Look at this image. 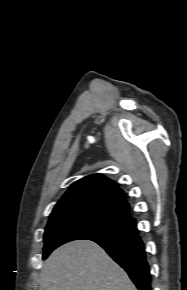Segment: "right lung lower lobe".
I'll use <instances>...</instances> for the list:
<instances>
[{"label":"right lung lower lobe","mask_w":187,"mask_h":290,"mask_svg":"<svg viewBox=\"0 0 187 290\" xmlns=\"http://www.w3.org/2000/svg\"><path fill=\"white\" fill-rule=\"evenodd\" d=\"M88 240L103 247L125 269L138 290H151L149 265L135 225L117 232L97 235Z\"/></svg>","instance_id":"right-lung-lower-lobe-1"}]
</instances>
